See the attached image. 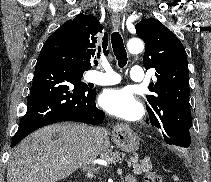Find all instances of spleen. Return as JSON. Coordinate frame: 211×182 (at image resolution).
Returning a JSON list of instances; mask_svg holds the SVG:
<instances>
[{"instance_id": "1", "label": "spleen", "mask_w": 211, "mask_h": 182, "mask_svg": "<svg viewBox=\"0 0 211 182\" xmlns=\"http://www.w3.org/2000/svg\"><path fill=\"white\" fill-rule=\"evenodd\" d=\"M173 179H174V181H178L179 180L176 175H173Z\"/></svg>"}]
</instances>
